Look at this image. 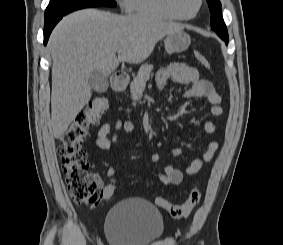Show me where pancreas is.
I'll list each match as a JSON object with an SVG mask.
<instances>
[{"label":"pancreas","instance_id":"obj_1","mask_svg":"<svg viewBox=\"0 0 283 245\" xmlns=\"http://www.w3.org/2000/svg\"><path fill=\"white\" fill-rule=\"evenodd\" d=\"M152 69H153V66L151 64H148V63L143 64L140 67L137 73V76L131 82L130 91H131V95L134 101L140 99L142 92L146 86V82L150 78Z\"/></svg>","mask_w":283,"mask_h":245}]
</instances>
